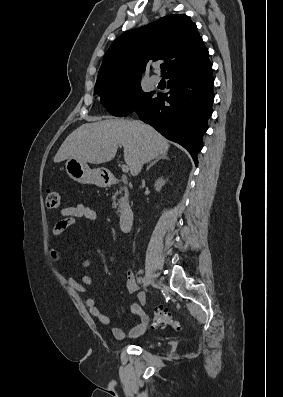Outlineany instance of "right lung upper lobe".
Returning a JSON list of instances; mask_svg holds the SVG:
<instances>
[{
    "instance_id": "cb5924a9",
    "label": "right lung upper lobe",
    "mask_w": 283,
    "mask_h": 397,
    "mask_svg": "<svg viewBox=\"0 0 283 397\" xmlns=\"http://www.w3.org/2000/svg\"><path fill=\"white\" fill-rule=\"evenodd\" d=\"M206 58L208 49L196 24L185 14H172L115 39L104 55L97 81L141 77L148 62L161 59L166 76Z\"/></svg>"
}]
</instances>
